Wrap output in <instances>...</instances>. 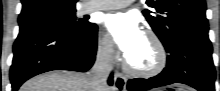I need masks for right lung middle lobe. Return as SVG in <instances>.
Segmentation results:
<instances>
[{"instance_id":"1","label":"right lung middle lobe","mask_w":220,"mask_h":91,"mask_svg":"<svg viewBox=\"0 0 220 91\" xmlns=\"http://www.w3.org/2000/svg\"><path fill=\"white\" fill-rule=\"evenodd\" d=\"M75 12L76 9L67 12L53 13L28 24L41 23L50 25L65 33L78 37L90 34L97 28V25L95 23L87 21L86 18L77 19L75 16Z\"/></svg>"}]
</instances>
